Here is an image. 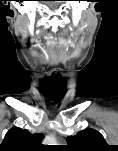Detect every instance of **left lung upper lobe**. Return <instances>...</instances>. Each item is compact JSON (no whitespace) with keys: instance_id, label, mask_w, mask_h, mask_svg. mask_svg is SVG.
I'll return each mask as SVG.
<instances>
[{"instance_id":"1","label":"left lung upper lobe","mask_w":118,"mask_h":151,"mask_svg":"<svg viewBox=\"0 0 118 151\" xmlns=\"http://www.w3.org/2000/svg\"><path fill=\"white\" fill-rule=\"evenodd\" d=\"M68 150L71 151H100L106 148L103 136L94 129H85L75 136H68Z\"/></svg>"}]
</instances>
